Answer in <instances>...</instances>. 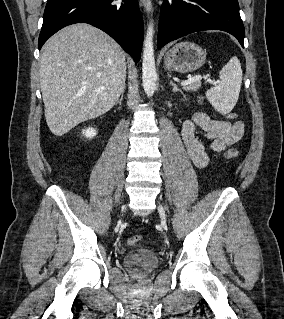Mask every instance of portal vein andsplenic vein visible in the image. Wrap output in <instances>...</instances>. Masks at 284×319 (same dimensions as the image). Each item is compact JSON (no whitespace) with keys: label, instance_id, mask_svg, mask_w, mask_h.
Returning <instances> with one entry per match:
<instances>
[{"label":"portal vein and splenic vein","instance_id":"obj_1","mask_svg":"<svg viewBox=\"0 0 284 319\" xmlns=\"http://www.w3.org/2000/svg\"><path fill=\"white\" fill-rule=\"evenodd\" d=\"M202 79H203V77L201 75H196V76L189 78L188 80L182 82L181 85L187 86V85L194 83V82H200ZM207 82H209L210 84H215V82H213L210 79H207Z\"/></svg>","mask_w":284,"mask_h":319}]
</instances>
